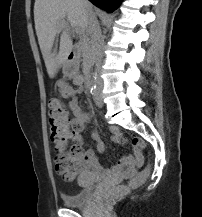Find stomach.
<instances>
[{"mask_svg":"<svg viewBox=\"0 0 202 217\" xmlns=\"http://www.w3.org/2000/svg\"><path fill=\"white\" fill-rule=\"evenodd\" d=\"M77 68L76 65L71 63H66L64 67V74L67 76H73L76 74Z\"/></svg>","mask_w":202,"mask_h":217,"instance_id":"stomach-1","label":"stomach"}]
</instances>
